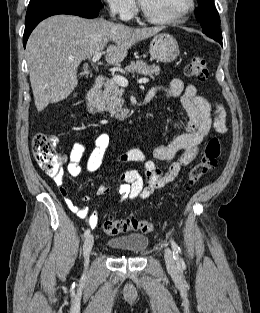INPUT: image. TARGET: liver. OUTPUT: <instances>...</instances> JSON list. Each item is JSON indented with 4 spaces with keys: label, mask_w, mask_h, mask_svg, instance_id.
I'll return each mask as SVG.
<instances>
[{
    "label": "liver",
    "mask_w": 260,
    "mask_h": 313,
    "mask_svg": "<svg viewBox=\"0 0 260 313\" xmlns=\"http://www.w3.org/2000/svg\"><path fill=\"white\" fill-rule=\"evenodd\" d=\"M161 27L133 28L105 19L55 15L43 20L30 35L26 58L35 106L39 112L67 98L78 84L81 61L101 52L109 41L105 60L117 65L128 49L151 37ZM73 58V59H71Z\"/></svg>",
    "instance_id": "6515ba94"
}]
</instances>
